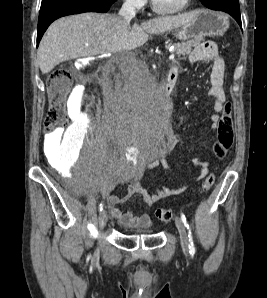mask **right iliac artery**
Masks as SVG:
<instances>
[{
	"label": "right iliac artery",
	"instance_id": "right-iliac-artery-1",
	"mask_svg": "<svg viewBox=\"0 0 267 298\" xmlns=\"http://www.w3.org/2000/svg\"><path fill=\"white\" fill-rule=\"evenodd\" d=\"M102 210H103V203H100V205H99V211H102Z\"/></svg>",
	"mask_w": 267,
	"mask_h": 298
}]
</instances>
